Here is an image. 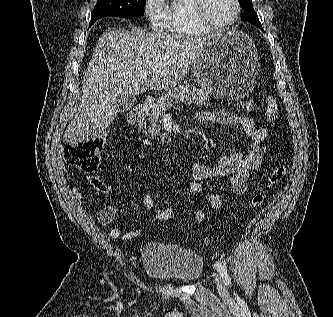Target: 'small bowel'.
Returning a JSON list of instances; mask_svg holds the SVG:
<instances>
[{
	"instance_id": "1",
	"label": "small bowel",
	"mask_w": 333,
	"mask_h": 317,
	"mask_svg": "<svg viewBox=\"0 0 333 317\" xmlns=\"http://www.w3.org/2000/svg\"><path fill=\"white\" fill-rule=\"evenodd\" d=\"M195 118L199 123L212 122L239 128L248 141L246 149L223 152L212 164L195 163L192 165L190 192L203 196L211 208L219 210L226 203V193L236 196L246 194L249 177L260 167L265 158V140L268 131L264 126H257L251 118L228 110L199 111ZM213 179H224L219 191H208L205 187V182ZM89 182L97 191L105 194L110 193L108 185L98 176H90ZM69 194L76 203L83 199V194L75 186L69 188ZM141 206L146 213L153 212L155 209L154 201L150 195L142 197ZM115 215L116 209L108 205L97 212L96 219L101 225H107L113 221ZM194 219L198 223L203 222L206 219L205 211L197 208ZM143 231V226L126 233H123L120 228H113L109 231V237L129 241L139 237Z\"/></svg>"
}]
</instances>
